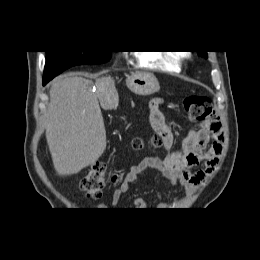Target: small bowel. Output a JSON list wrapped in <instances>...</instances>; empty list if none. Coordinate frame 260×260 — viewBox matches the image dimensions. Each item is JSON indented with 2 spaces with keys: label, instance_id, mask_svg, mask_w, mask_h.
<instances>
[{
  "label": "small bowel",
  "instance_id": "small-bowel-1",
  "mask_svg": "<svg viewBox=\"0 0 260 260\" xmlns=\"http://www.w3.org/2000/svg\"><path fill=\"white\" fill-rule=\"evenodd\" d=\"M164 101L154 98L150 103V123L154 131L161 135L164 147L169 150L163 158L145 157L132 166L120 185L114 190L111 206L116 207L121 196L128 192L140 175L148 170H156L162 174L169 185H180L192 193L214 171L223 150V133L220 122L212 117L204 120L198 129L191 130L179 148H175V139L165 123L161 110ZM133 205L136 209H146L147 201L137 197ZM105 209L104 204L98 205Z\"/></svg>",
  "mask_w": 260,
  "mask_h": 260
}]
</instances>
